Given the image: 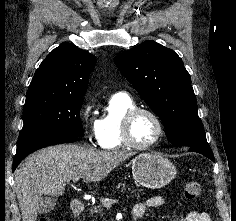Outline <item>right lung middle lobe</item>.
Masks as SVG:
<instances>
[{
  "label": "right lung middle lobe",
  "mask_w": 236,
  "mask_h": 221,
  "mask_svg": "<svg viewBox=\"0 0 236 221\" xmlns=\"http://www.w3.org/2000/svg\"><path fill=\"white\" fill-rule=\"evenodd\" d=\"M82 102V96L26 95L18 141L46 134L84 136L79 115Z\"/></svg>",
  "instance_id": "dd1d6c3e"
}]
</instances>
